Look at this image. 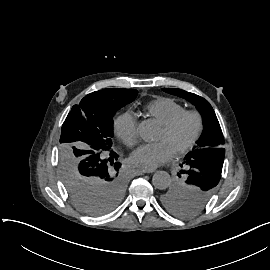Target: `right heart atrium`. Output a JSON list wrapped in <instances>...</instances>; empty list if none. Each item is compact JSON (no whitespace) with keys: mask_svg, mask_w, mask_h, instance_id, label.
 <instances>
[{"mask_svg":"<svg viewBox=\"0 0 270 270\" xmlns=\"http://www.w3.org/2000/svg\"><path fill=\"white\" fill-rule=\"evenodd\" d=\"M114 132L129 148L136 146L139 142L137 120L130 112H126L116 119Z\"/></svg>","mask_w":270,"mask_h":270,"instance_id":"d8ad5b80","label":"right heart atrium"}]
</instances>
